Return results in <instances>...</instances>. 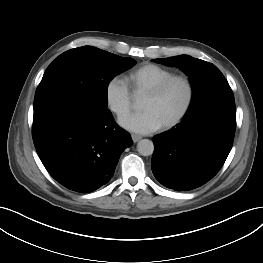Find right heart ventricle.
Here are the masks:
<instances>
[{
	"label": "right heart ventricle",
	"instance_id": "1",
	"mask_svg": "<svg viewBox=\"0 0 263 263\" xmlns=\"http://www.w3.org/2000/svg\"><path fill=\"white\" fill-rule=\"evenodd\" d=\"M173 75L172 71L157 64H143L124 76L126 85L134 94H142L163 79Z\"/></svg>",
	"mask_w": 263,
	"mask_h": 263
}]
</instances>
